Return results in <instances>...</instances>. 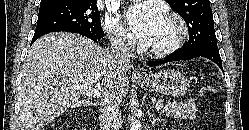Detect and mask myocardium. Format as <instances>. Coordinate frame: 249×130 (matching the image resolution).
Returning a JSON list of instances; mask_svg holds the SVG:
<instances>
[{"mask_svg": "<svg viewBox=\"0 0 249 130\" xmlns=\"http://www.w3.org/2000/svg\"><path fill=\"white\" fill-rule=\"evenodd\" d=\"M164 17L173 21L176 24L178 33L175 39L165 46L158 48H150V47L145 48V52L148 55L156 58L165 57L174 53L184 45V43L188 40L189 37L188 26L180 15L174 12H166Z\"/></svg>", "mask_w": 249, "mask_h": 130, "instance_id": "1", "label": "myocardium"}]
</instances>
